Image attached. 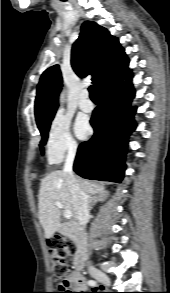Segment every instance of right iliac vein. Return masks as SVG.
<instances>
[{"label": "right iliac vein", "mask_w": 170, "mask_h": 293, "mask_svg": "<svg viewBox=\"0 0 170 293\" xmlns=\"http://www.w3.org/2000/svg\"><path fill=\"white\" fill-rule=\"evenodd\" d=\"M91 274L99 282H101V283H103V284H105L107 286L110 285V279L105 273H103V272H101V271H99L97 269H93Z\"/></svg>", "instance_id": "right-iliac-vein-1"}]
</instances>
